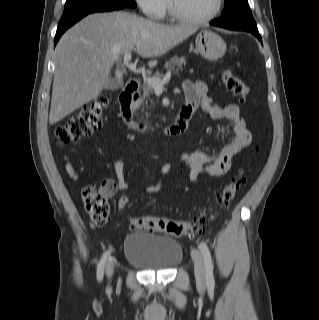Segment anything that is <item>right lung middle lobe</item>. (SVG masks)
<instances>
[{
    "label": "right lung middle lobe",
    "mask_w": 319,
    "mask_h": 320,
    "mask_svg": "<svg viewBox=\"0 0 319 320\" xmlns=\"http://www.w3.org/2000/svg\"><path fill=\"white\" fill-rule=\"evenodd\" d=\"M112 5L135 7L136 3L134 0H67L59 24H63L73 17L93 8Z\"/></svg>",
    "instance_id": "right-lung-middle-lobe-1"
}]
</instances>
